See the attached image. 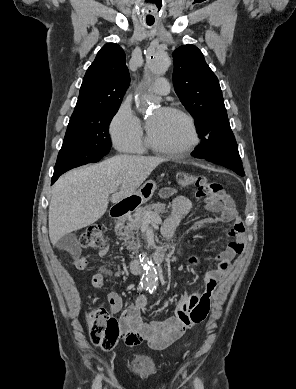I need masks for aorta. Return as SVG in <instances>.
Wrapping results in <instances>:
<instances>
[{"label":"aorta","mask_w":296,"mask_h":389,"mask_svg":"<svg viewBox=\"0 0 296 389\" xmlns=\"http://www.w3.org/2000/svg\"><path fill=\"white\" fill-rule=\"evenodd\" d=\"M169 55L163 50H154L147 58L145 66V77L150 79L155 76L164 75L170 66ZM139 102L142 106H146L149 102V96L146 93H141ZM142 263L145 271V279L149 287L156 285L157 273L156 266L153 264L147 254L142 256Z\"/></svg>","instance_id":"762f6f07"}]
</instances>
